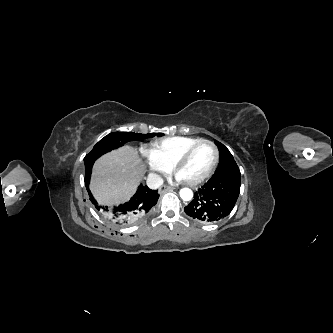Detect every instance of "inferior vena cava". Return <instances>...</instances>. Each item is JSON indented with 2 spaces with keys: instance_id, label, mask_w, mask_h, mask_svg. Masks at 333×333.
I'll list each match as a JSON object with an SVG mask.
<instances>
[{
  "instance_id": "1",
  "label": "inferior vena cava",
  "mask_w": 333,
  "mask_h": 333,
  "mask_svg": "<svg viewBox=\"0 0 333 333\" xmlns=\"http://www.w3.org/2000/svg\"><path fill=\"white\" fill-rule=\"evenodd\" d=\"M147 185L150 189H158L163 185V179L158 174H149L147 177Z\"/></svg>"
}]
</instances>
